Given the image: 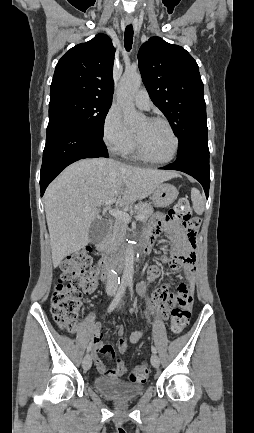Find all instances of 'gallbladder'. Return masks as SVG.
<instances>
[{
	"instance_id": "obj_1",
	"label": "gallbladder",
	"mask_w": 254,
	"mask_h": 433,
	"mask_svg": "<svg viewBox=\"0 0 254 433\" xmlns=\"http://www.w3.org/2000/svg\"><path fill=\"white\" fill-rule=\"evenodd\" d=\"M109 231V224L106 220L103 219H95L88 231L89 241L91 243H98L102 241Z\"/></svg>"
}]
</instances>
